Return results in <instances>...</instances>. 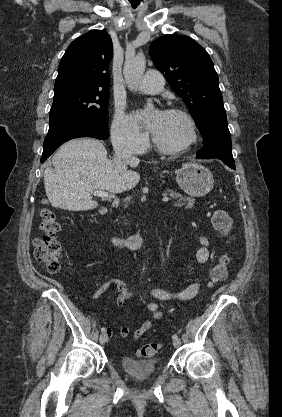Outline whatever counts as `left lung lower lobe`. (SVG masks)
I'll return each instance as SVG.
<instances>
[{
    "label": "left lung lower lobe",
    "instance_id": "0a47b994",
    "mask_svg": "<svg viewBox=\"0 0 282 417\" xmlns=\"http://www.w3.org/2000/svg\"><path fill=\"white\" fill-rule=\"evenodd\" d=\"M204 147L198 152L197 158H218L230 168L235 169L232 156V143L226 117L212 119L201 131Z\"/></svg>",
    "mask_w": 282,
    "mask_h": 417
}]
</instances>
